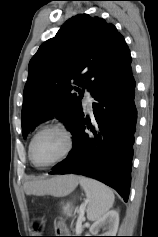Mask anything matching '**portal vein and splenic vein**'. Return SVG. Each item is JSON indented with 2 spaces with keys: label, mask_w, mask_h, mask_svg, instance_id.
Segmentation results:
<instances>
[{
  "label": "portal vein and splenic vein",
  "mask_w": 158,
  "mask_h": 237,
  "mask_svg": "<svg viewBox=\"0 0 158 237\" xmlns=\"http://www.w3.org/2000/svg\"><path fill=\"white\" fill-rule=\"evenodd\" d=\"M84 210H85V204H83L80 209H79V217L77 219V224H76V227L78 229H81V226H82V222L84 221Z\"/></svg>",
  "instance_id": "portal-vein-and-splenic-vein-1"
}]
</instances>
